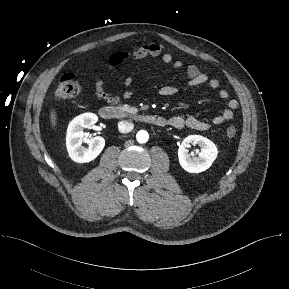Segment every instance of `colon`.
Segmentation results:
<instances>
[{"label": "colon", "instance_id": "1", "mask_svg": "<svg viewBox=\"0 0 289 289\" xmlns=\"http://www.w3.org/2000/svg\"><path fill=\"white\" fill-rule=\"evenodd\" d=\"M81 90L82 87L76 76L71 72H67L61 76L55 90V96L62 100L70 99L78 96L81 93ZM236 134L237 129L234 126H229L226 129V135L228 138L232 139Z\"/></svg>", "mask_w": 289, "mask_h": 289}]
</instances>
